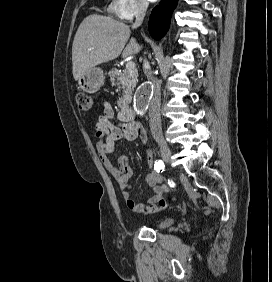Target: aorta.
Segmentation results:
<instances>
[{
  "instance_id": "762f6f07",
  "label": "aorta",
  "mask_w": 272,
  "mask_h": 282,
  "mask_svg": "<svg viewBox=\"0 0 272 282\" xmlns=\"http://www.w3.org/2000/svg\"><path fill=\"white\" fill-rule=\"evenodd\" d=\"M147 87H143L141 89V91L139 92V95L137 97V107L140 109L142 108L144 102H145V99H146V95H147Z\"/></svg>"
}]
</instances>
